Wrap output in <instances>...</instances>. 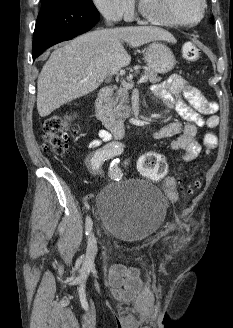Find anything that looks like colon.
Segmentation results:
<instances>
[{"mask_svg":"<svg viewBox=\"0 0 233 328\" xmlns=\"http://www.w3.org/2000/svg\"><path fill=\"white\" fill-rule=\"evenodd\" d=\"M184 58L188 61H196L200 58V51L193 43H186L183 46ZM75 115L54 116L43 122V146L44 149L57 155H64L68 150L70 140L69 129L73 123ZM207 154L211 153L217 144L214 134H207L204 140ZM138 167L140 173L150 180H160L167 174V164L162 155L147 152L143 154ZM197 187V183L193 185ZM192 188H189V192Z\"/></svg>","mask_w":233,"mask_h":328,"instance_id":"5ec220e1","label":"colon"}]
</instances>
